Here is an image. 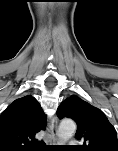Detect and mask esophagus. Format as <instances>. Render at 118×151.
I'll use <instances>...</instances> for the list:
<instances>
[{
  "mask_svg": "<svg viewBox=\"0 0 118 151\" xmlns=\"http://www.w3.org/2000/svg\"><path fill=\"white\" fill-rule=\"evenodd\" d=\"M57 128H58V120L56 117L52 118L51 125H50V143L56 144L59 142L57 137Z\"/></svg>",
  "mask_w": 118,
  "mask_h": 151,
  "instance_id": "obj_1",
  "label": "esophagus"
}]
</instances>
